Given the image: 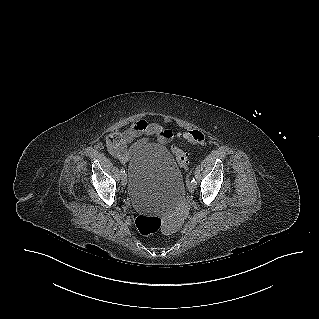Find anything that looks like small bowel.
Instances as JSON below:
<instances>
[{
	"label": "small bowel",
	"instance_id": "small-bowel-1",
	"mask_svg": "<svg viewBox=\"0 0 319 319\" xmlns=\"http://www.w3.org/2000/svg\"><path fill=\"white\" fill-rule=\"evenodd\" d=\"M173 132L155 122L139 119L125 129L109 128L104 135L110 154L121 163H126L140 148L154 137L160 143H168Z\"/></svg>",
	"mask_w": 319,
	"mask_h": 319
}]
</instances>
